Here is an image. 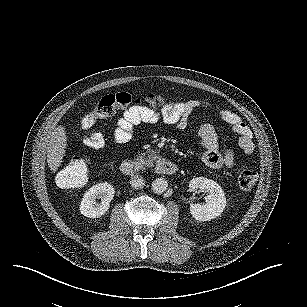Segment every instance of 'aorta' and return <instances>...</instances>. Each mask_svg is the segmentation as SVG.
I'll return each mask as SVG.
<instances>
[{
    "mask_svg": "<svg viewBox=\"0 0 307 307\" xmlns=\"http://www.w3.org/2000/svg\"><path fill=\"white\" fill-rule=\"evenodd\" d=\"M167 188L168 182L164 178H156L151 184V189L156 194H163Z\"/></svg>",
    "mask_w": 307,
    "mask_h": 307,
    "instance_id": "1",
    "label": "aorta"
}]
</instances>
